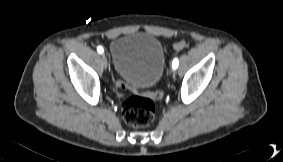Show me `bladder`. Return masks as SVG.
I'll return each instance as SVG.
<instances>
[{"mask_svg":"<svg viewBox=\"0 0 283 162\" xmlns=\"http://www.w3.org/2000/svg\"><path fill=\"white\" fill-rule=\"evenodd\" d=\"M115 73L134 89L155 86L165 71L161 42L147 33H130L116 38L110 46Z\"/></svg>","mask_w":283,"mask_h":162,"instance_id":"bladder-1","label":"bladder"}]
</instances>
